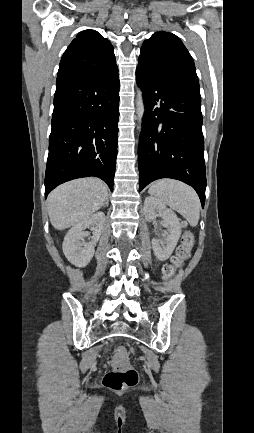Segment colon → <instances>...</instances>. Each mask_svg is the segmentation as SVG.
<instances>
[{
	"label": "colon",
	"instance_id": "1",
	"mask_svg": "<svg viewBox=\"0 0 254 433\" xmlns=\"http://www.w3.org/2000/svg\"><path fill=\"white\" fill-rule=\"evenodd\" d=\"M195 245V235L191 231H185L181 237L180 244L170 262L163 267V276L171 280L177 269L181 267L191 256ZM125 351L121 350L113 363L112 370L103 377V385L114 391H122L134 387L138 382V373L132 366L125 362Z\"/></svg>",
	"mask_w": 254,
	"mask_h": 433
}]
</instances>
